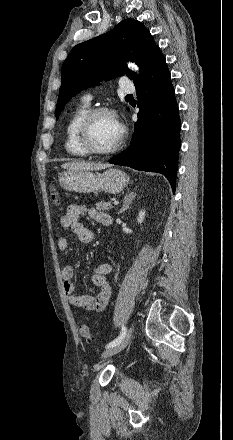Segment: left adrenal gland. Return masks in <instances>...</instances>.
I'll list each match as a JSON object with an SVG mask.
<instances>
[{"instance_id": "1", "label": "left adrenal gland", "mask_w": 233, "mask_h": 440, "mask_svg": "<svg viewBox=\"0 0 233 440\" xmlns=\"http://www.w3.org/2000/svg\"><path fill=\"white\" fill-rule=\"evenodd\" d=\"M135 197H136V193L128 192V194L124 197L123 207H122V209H120L118 214L123 213L124 211H126L129 208V206L132 203V201L135 199Z\"/></svg>"}]
</instances>
